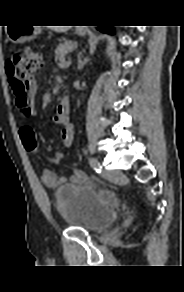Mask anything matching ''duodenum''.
<instances>
[{"mask_svg":"<svg viewBox=\"0 0 184 292\" xmlns=\"http://www.w3.org/2000/svg\"><path fill=\"white\" fill-rule=\"evenodd\" d=\"M69 109H70V100L67 98H64L57 104V115L64 117L68 114Z\"/></svg>","mask_w":184,"mask_h":292,"instance_id":"duodenum-1","label":"duodenum"}]
</instances>
